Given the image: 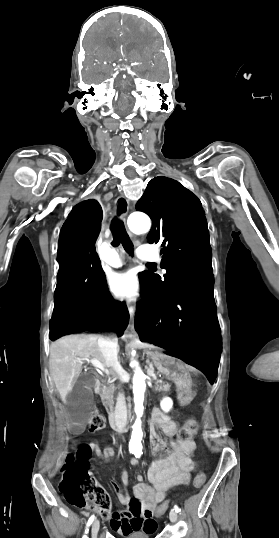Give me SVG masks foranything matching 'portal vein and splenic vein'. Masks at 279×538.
<instances>
[{"mask_svg":"<svg viewBox=\"0 0 279 538\" xmlns=\"http://www.w3.org/2000/svg\"><path fill=\"white\" fill-rule=\"evenodd\" d=\"M90 362L91 364H93V366H96V368H99V370H102V372H105V374H109L108 370H105L103 364H101L99 360H90ZM156 383H164V380H156Z\"/></svg>","mask_w":279,"mask_h":538,"instance_id":"obj_1","label":"portal vein and splenic vein"}]
</instances>
